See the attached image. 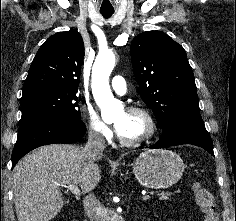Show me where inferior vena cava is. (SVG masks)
Here are the masks:
<instances>
[{"instance_id": "602c4592", "label": "inferior vena cava", "mask_w": 236, "mask_h": 221, "mask_svg": "<svg viewBox=\"0 0 236 221\" xmlns=\"http://www.w3.org/2000/svg\"><path fill=\"white\" fill-rule=\"evenodd\" d=\"M104 149V137L96 130L90 129L88 131V142L83 148V154L88 162L93 163L102 157ZM83 206L90 221H105L102 205L94 193L88 192L83 199Z\"/></svg>"}]
</instances>
